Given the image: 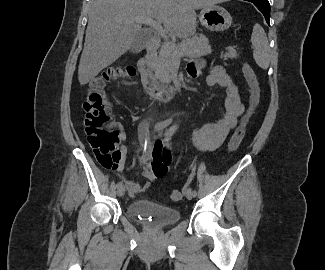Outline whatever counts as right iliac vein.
<instances>
[{
  "mask_svg": "<svg viewBox=\"0 0 325 270\" xmlns=\"http://www.w3.org/2000/svg\"><path fill=\"white\" fill-rule=\"evenodd\" d=\"M125 194V186H120V187H118V189H117V195L119 196V197H121V196H123Z\"/></svg>",
  "mask_w": 325,
  "mask_h": 270,
  "instance_id": "right-iliac-vein-1",
  "label": "right iliac vein"
}]
</instances>
